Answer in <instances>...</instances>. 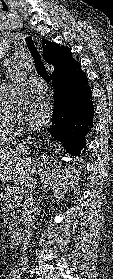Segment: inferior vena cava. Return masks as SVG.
I'll return each instance as SVG.
<instances>
[{
	"label": "inferior vena cava",
	"mask_w": 113,
	"mask_h": 279,
	"mask_svg": "<svg viewBox=\"0 0 113 279\" xmlns=\"http://www.w3.org/2000/svg\"><path fill=\"white\" fill-rule=\"evenodd\" d=\"M31 144V138L28 137L25 141L18 145L17 151L27 154L29 146ZM36 181L33 179L32 173H29L24 182V202H23V251L21 255L22 269H25L27 266V257L26 249L27 245L31 240L32 229H33V214H34V200H33V191Z\"/></svg>",
	"instance_id": "inferior-vena-cava-1"
}]
</instances>
